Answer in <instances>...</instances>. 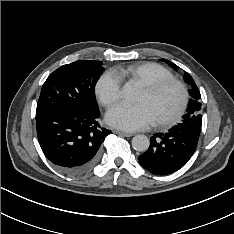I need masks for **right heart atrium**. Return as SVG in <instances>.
I'll return each mask as SVG.
<instances>
[{"mask_svg": "<svg viewBox=\"0 0 234 234\" xmlns=\"http://www.w3.org/2000/svg\"><path fill=\"white\" fill-rule=\"evenodd\" d=\"M95 94L101 104L111 106L120 98L121 80L113 71H105L96 81Z\"/></svg>", "mask_w": 234, "mask_h": 234, "instance_id": "obj_1", "label": "right heart atrium"}]
</instances>
